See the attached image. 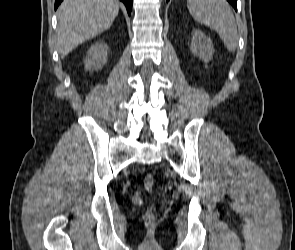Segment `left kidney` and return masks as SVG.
<instances>
[{
	"mask_svg": "<svg viewBox=\"0 0 295 250\" xmlns=\"http://www.w3.org/2000/svg\"><path fill=\"white\" fill-rule=\"evenodd\" d=\"M191 52L202 59L204 62H209L214 53V46L210 38L204 35L200 30L192 32Z\"/></svg>",
	"mask_w": 295,
	"mask_h": 250,
	"instance_id": "left-kidney-1",
	"label": "left kidney"
}]
</instances>
